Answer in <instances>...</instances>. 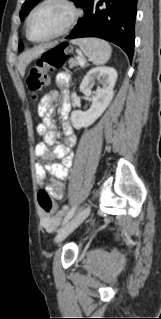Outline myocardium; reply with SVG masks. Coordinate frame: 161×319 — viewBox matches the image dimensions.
<instances>
[{"instance_id": "obj_1", "label": "myocardium", "mask_w": 161, "mask_h": 319, "mask_svg": "<svg viewBox=\"0 0 161 319\" xmlns=\"http://www.w3.org/2000/svg\"><path fill=\"white\" fill-rule=\"evenodd\" d=\"M51 3H55V4H59L62 5L63 7H65L68 10V18L66 19V21L64 22V24L61 26V28L56 31L55 33H53L50 36H47L45 38H41V39H34L32 38L31 34H30V24H31V20L33 18V16L35 15V13L42 8L45 5L51 4ZM79 16V10L77 8V6L71 1V0H42L40 3H38L33 10L30 12L28 19H27V23H26V34L27 37L30 41L32 42H46V41H50L53 40L55 38H58L60 36H62L63 34H65L75 23V21L77 20Z\"/></svg>"}]
</instances>
